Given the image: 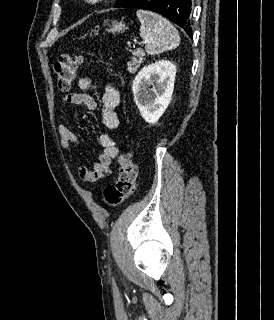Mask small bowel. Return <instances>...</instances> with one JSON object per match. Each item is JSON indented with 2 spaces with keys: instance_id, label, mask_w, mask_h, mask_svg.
<instances>
[{
  "instance_id": "obj_1",
  "label": "small bowel",
  "mask_w": 274,
  "mask_h": 320,
  "mask_svg": "<svg viewBox=\"0 0 274 320\" xmlns=\"http://www.w3.org/2000/svg\"><path fill=\"white\" fill-rule=\"evenodd\" d=\"M92 79L89 75H81L77 81V87L80 92H73L67 94L62 99V106L64 113L70 115V106L75 104H82L88 110L96 108L94 98L86 93L91 87ZM120 103V94L115 86L108 84L101 97L100 114L103 124L108 129H116L120 125V116L117 112V107ZM60 142L62 147L72 154L74 146L79 144V139L76 134L65 124L58 126ZM99 143L102 147V152L98 157V161L94 163L93 169L78 164L72 160L68 161V166L74 169L78 175L86 182L94 183L112 172V161L120 154V149L114 139L106 133L99 136Z\"/></svg>"
}]
</instances>
